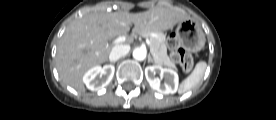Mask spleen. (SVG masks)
I'll list each match as a JSON object with an SVG mask.
<instances>
[{"instance_id":"3e777b00","label":"spleen","mask_w":276,"mask_h":120,"mask_svg":"<svg viewBox=\"0 0 276 120\" xmlns=\"http://www.w3.org/2000/svg\"><path fill=\"white\" fill-rule=\"evenodd\" d=\"M206 67H207L206 62L204 61L198 62L193 72L181 82L178 93L183 94L191 90L193 87H195L203 78Z\"/></svg>"}]
</instances>
